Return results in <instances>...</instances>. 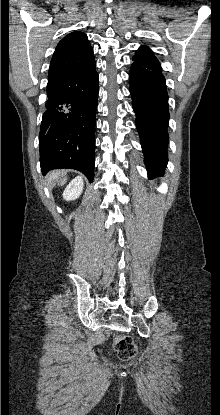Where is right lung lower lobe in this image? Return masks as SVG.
I'll return each instance as SVG.
<instances>
[{
	"instance_id": "1",
	"label": "right lung lower lobe",
	"mask_w": 220,
	"mask_h": 415,
	"mask_svg": "<svg viewBox=\"0 0 220 415\" xmlns=\"http://www.w3.org/2000/svg\"><path fill=\"white\" fill-rule=\"evenodd\" d=\"M98 79L95 59L48 79V99L39 134L43 174L52 169L70 168L81 171L92 182Z\"/></svg>"
}]
</instances>
